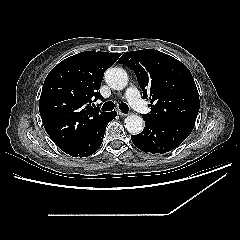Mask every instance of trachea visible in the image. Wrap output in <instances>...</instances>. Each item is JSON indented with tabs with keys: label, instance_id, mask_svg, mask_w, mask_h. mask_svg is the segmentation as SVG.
I'll return each mask as SVG.
<instances>
[{
	"label": "trachea",
	"instance_id": "3493384b",
	"mask_svg": "<svg viewBox=\"0 0 240 240\" xmlns=\"http://www.w3.org/2000/svg\"><path fill=\"white\" fill-rule=\"evenodd\" d=\"M114 107H115L114 103L112 101H108L102 106V111H111L113 110ZM119 109L124 113H128L129 111V107L125 103H121L119 105Z\"/></svg>",
	"mask_w": 240,
	"mask_h": 240
}]
</instances>
